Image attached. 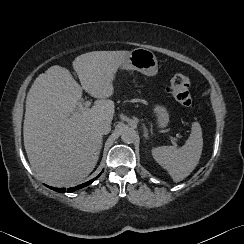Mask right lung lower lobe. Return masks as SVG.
Returning <instances> with one entry per match:
<instances>
[{"instance_id":"right-lung-lower-lobe-1","label":"right lung lower lobe","mask_w":244,"mask_h":244,"mask_svg":"<svg viewBox=\"0 0 244 244\" xmlns=\"http://www.w3.org/2000/svg\"><path fill=\"white\" fill-rule=\"evenodd\" d=\"M100 175H101V173L96 178H98ZM96 178H94V179H92V180H90V181H88L86 183H83L81 185H78L76 187L68 188L67 189V192L68 193H71V192H73V191H75L77 189H80V188H83L85 186H88L89 184H91L92 182H94L96 180ZM47 187L53 189L54 191L60 192V193H64L66 191V188H53V187H50V186H47Z\"/></svg>"}]
</instances>
